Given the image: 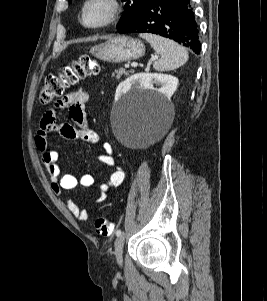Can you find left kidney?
<instances>
[{
  "mask_svg": "<svg viewBox=\"0 0 267 301\" xmlns=\"http://www.w3.org/2000/svg\"><path fill=\"white\" fill-rule=\"evenodd\" d=\"M153 84L160 85V88L155 89ZM133 85H138L142 90H155L170 99L177 89L178 79L168 74L138 73L130 76L118 85L115 93V100H118L121 96L127 94Z\"/></svg>",
  "mask_w": 267,
  "mask_h": 301,
  "instance_id": "5707ae66",
  "label": "left kidney"
}]
</instances>
